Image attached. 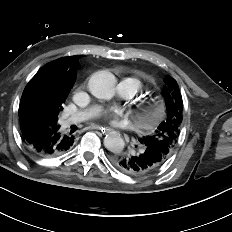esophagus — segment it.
Instances as JSON below:
<instances>
[{"mask_svg": "<svg viewBox=\"0 0 232 232\" xmlns=\"http://www.w3.org/2000/svg\"><path fill=\"white\" fill-rule=\"evenodd\" d=\"M92 128L101 131L102 134H105L106 132L109 131V129L98 125H94Z\"/></svg>", "mask_w": 232, "mask_h": 232, "instance_id": "obj_1", "label": "esophagus"}]
</instances>
